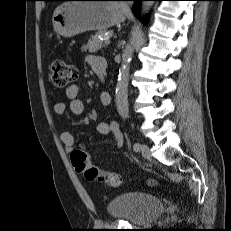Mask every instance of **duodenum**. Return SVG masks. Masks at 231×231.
Instances as JSON below:
<instances>
[{
    "label": "duodenum",
    "instance_id": "duodenum-1",
    "mask_svg": "<svg viewBox=\"0 0 231 231\" xmlns=\"http://www.w3.org/2000/svg\"><path fill=\"white\" fill-rule=\"evenodd\" d=\"M95 73L98 75V77L100 78V80H104V76L107 70V63L106 64H100L99 66H96L94 68Z\"/></svg>",
    "mask_w": 231,
    "mask_h": 231
}]
</instances>
